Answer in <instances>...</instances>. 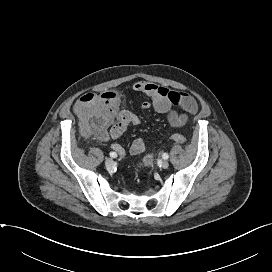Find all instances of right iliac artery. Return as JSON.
I'll return each mask as SVG.
<instances>
[{"label": "right iliac artery", "mask_w": 272, "mask_h": 272, "mask_svg": "<svg viewBox=\"0 0 272 272\" xmlns=\"http://www.w3.org/2000/svg\"><path fill=\"white\" fill-rule=\"evenodd\" d=\"M110 157L112 158H116L117 157V153L116 152H110Z\"/></svg>", "instance_id": "82829eb1"}]
</instances>
